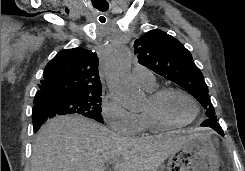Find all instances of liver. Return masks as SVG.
I'll return each instance as SVG.
<instances>
[{
	"label": "liver",
	"instance_id": "liver-1",
	"mask_svg": "<svg viewBox=\"0 0 245 171\" xmlns=\"http://www.w3.org/2000/svg\"><path fill=\"white\" fill-rule=\"evenodd\" d=\"M192 135L119 136L78 115L58 116L45 123L33 145L31 171H157Z\"/></svg>",
	"mask_w": 245,
	"mask_h": 171
}]
</instances>
